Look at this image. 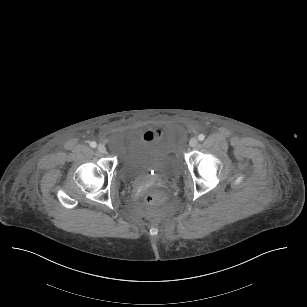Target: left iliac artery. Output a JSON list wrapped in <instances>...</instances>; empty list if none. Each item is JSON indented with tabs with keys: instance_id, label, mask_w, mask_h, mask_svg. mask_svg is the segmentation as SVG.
Here are the masks:
<instances>
[{
	"instance_id": "left-iliac-artery-1",
	"label": "left iliac artery",
	"mask_w": 307,
	"mask_h": 307,
	"mask_svg": "<svg viewBox=\"0 0 307 307\" xmlns=\"http://www.w3.org/2000/svg\"><path fill=\"white\" fill-rule=\"evenodd\" d=\"M198 139H199L200 141H203V140L205 139V135H204V134H200V135L198 136Z\"/></svg>"
}]
</instances>
